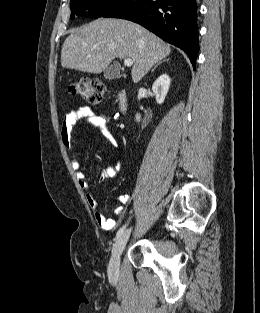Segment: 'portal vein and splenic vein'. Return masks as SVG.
I'll list each match as a JSON object with an SVG mask.
<instances>
[{
    "label": "portal vein and splenic vein",
    "mask_w": 260,
    "mask_h": 313,
    "mask_svg": "<svg viewBox=\"0 0 260 313\" xmlns=\"http://www.w3.org/2000/svg\"><path fill=\"white\" fill-rule=\"evenodd\" d=\"M124 65L127 66V67H131L133 65L132 59H129V58L125 59Z\"/></svg>",
    "instance_id": "portal-vein-and-splenic-vein-1"
}]
</instances>
